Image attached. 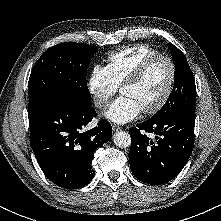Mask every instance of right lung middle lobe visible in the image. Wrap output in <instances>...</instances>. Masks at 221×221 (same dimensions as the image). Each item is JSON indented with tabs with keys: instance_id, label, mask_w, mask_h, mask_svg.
I'll return each instance as SVG.
<instances>
[{
	"instance_id": "1",
	"label": "right lung middle lobe",
	"mask_w": 221,
	"mask_h": 221,
	"mask_svg": "<svg viewBox=\"0 0 221 221\" xmlns=\"http://www.w3.org/2000/svg\"><path fill=\"white\" fill-rule=\"evenodd\" d=\"M96 47L60 43L47 49L35 63L28 82L29 114L52 100L71 105H91L86 73Z\"/></svg>"
}]
</instances>
